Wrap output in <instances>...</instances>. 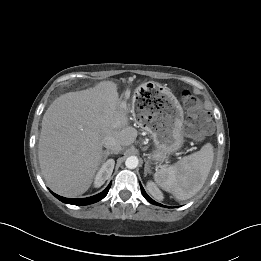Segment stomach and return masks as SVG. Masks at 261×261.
<instances>
[{
	"mask_svg": "<svg viewBox=\"0 0 261 261\" xmlns=\"http://www.w3.org/2000/svg\"><path fill=\"white\" fill-rule=\"evenodd\" d=\"M146 97L134 100L136 123L150 133L154 150L150 159L163 162L177 152L184 143L182 132L184 111L172 91L158 83L144 85Z\"/></svg>",
	"mask_w": 261,
	"mask_h": 261,
	"instance_id": "0dacf381",
	"label": "stomach"
}]
</instances>
